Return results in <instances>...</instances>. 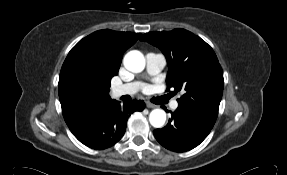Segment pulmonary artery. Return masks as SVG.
<instances>
[{
    "mask_svg": "<svg viewBox=\"0 0 287 175\" xmlns=\"http://www.w3.org/2000/svg\"><path fill=\"white\" fill-rule=\"evenodd\" d=\"M145 59H146V70L149 75L158 74L159 72L162 71V69L166 65V58L161 53L149 52L146 54ZM141 86L142 84L139 81L118 85L114 87L113 94L115 97H120L123 95H134L140 90ZM177 107L178 102L177 101L172 102L171 108L175 110L177 109Z\"/></svg>",
    "mask_w": 287,
    "mask_h": 175,
    "instance_id": "pulmonary-artery-1",
    "label": "pulmonary artery"
}]
</instances>
